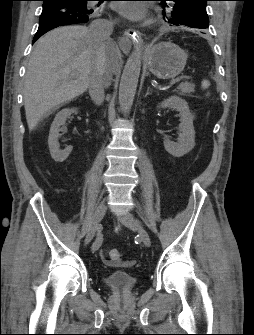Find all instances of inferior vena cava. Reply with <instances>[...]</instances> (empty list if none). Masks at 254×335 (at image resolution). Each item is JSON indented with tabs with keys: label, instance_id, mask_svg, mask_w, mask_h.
<instances>
[{
	"label": "inferior vena cava",
	"instance_id": "inferior-vena-cava-1",
	"mask_svg": "<svg viewBox=\"0 0 254 335\" xmlns=\"http://www.w3.org/2000/svg\"><path fill=\"white\" fill-rule=\"evenodd\" d=\"M114 23L104 19H98L91 23L89 34L94 43L103 44L110 40V35L113 32ZM111 76L106 69L103 59H98L95 68L89 77V94L92 101L100 105L104 101V88L110 85Z\"/></svg>",
	"mask_w": 254,
	"mask_h": 335
}]
</instances>
